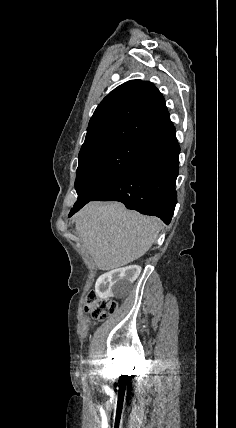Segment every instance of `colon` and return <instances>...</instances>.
I'll list each match as a JSON object with an SVG mask.
<instances>
[{"mask_svg":"<svg viewBox=\"0 0 236 428\" xmlns=\"http://www.w3.org/2000/svg\"><path fill=\"white\" fill-rule=\"evenodd\" d=\"M117 309V303L111 299L99 298L94 292H89L85 298V310L94 321H103Z\"/></svg>","mask_w":236,"mask_h":428,"instance_id":"1","label":"colon"}]
</instances>
